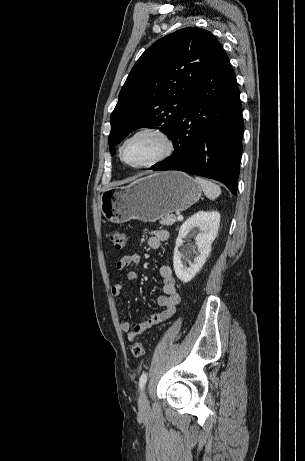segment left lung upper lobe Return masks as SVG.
Segmentation results:
<instances>
[{
  "instance_id": "obj_1",
  "label": "left lung upper lobe",
  "mask_w": 305,
  "mask_h": 461,
  "mask_svg": "<svg viewBox=\"0 0 305 461\" xmlns=\"http://www.w3.org/2000/svg\"><path fill=\"white\" fill-rule=\"evenodd\" d=\"M222 50L212 33L195 27L164 36L148 48L128 75L111 114V154L130 132L144 125H162V132L171 137L191 91Z\"/></svg>"
}]
</instances>
